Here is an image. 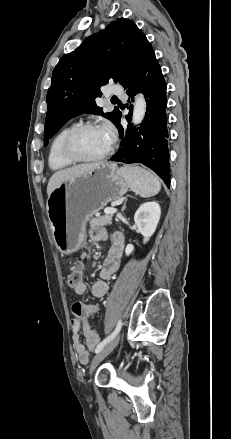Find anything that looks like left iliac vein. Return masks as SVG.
<instances>
[{
    "instance_id": "4c4485c4",
    "label": "left iliac vein",
    "mask_w": 231,
    "mask_h": 439,
    "mask_svg": "<svg viewBox=\"0 0 231 439\" xmlns=\"http://www.w3.org/2000/svg\"><path fill=\"white\" fill-rule=\"evenodd\" d=\"M120 336V334H117L100 352L94 356L90 365V374L94 371L97 365L114 349L120 339Z\"/></svg>"
}]
</instances>
